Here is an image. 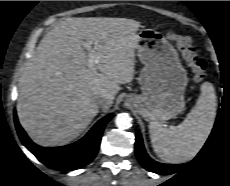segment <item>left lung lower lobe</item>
I'll return each mask as SVG.
<instances>
[{
    "label": "left lung lower lobe",
    "instance_id": "0a47b994",
    "mask_svg": "<svg viewBox=\"0 0 230 186\" xmlns=\"http://www.w3.org/2000/svg\"><path fill=\"white\" fill-rule=\"evenodd\" d=\"M136 142H135V152L137 159L139 160L140 164L147 169L148 171L157 173V174H173L181 170L182 168H187L192 162L188 164H180V165H173V164H162L152 160L146 153L145 148L143 146L142 137L140 133L136 134Z\"/></svg>",
    "mask_w": 230,
    "mask_h": 186
}]
</instances>
